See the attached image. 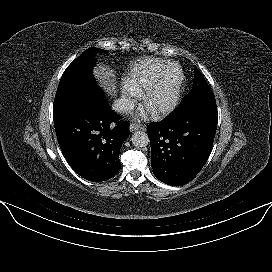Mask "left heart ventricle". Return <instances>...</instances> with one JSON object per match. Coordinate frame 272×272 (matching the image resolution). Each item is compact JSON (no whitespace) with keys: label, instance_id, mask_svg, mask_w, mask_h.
<instances>
[{"label":"left heart ventricle","instance_id":"left-heart-ventricle-1","mask_svg":"<svg viewBox=\"0 0 272 272\" xmlns=\"http://www.w3.org/2000/svg\"><path fill=\"white\" fill-rule=\"evenodd\" d=\"M178 76L179 72L176 68H172L169 71L161 86L151 97L149 101V108L154 109L166 105L171 100Z\"/></svg>","mask_w":272,"mask_h":272}]
</instances>
